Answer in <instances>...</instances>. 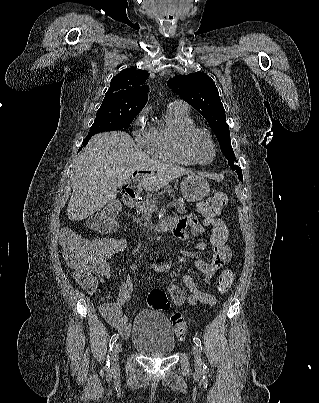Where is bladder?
<instances>
[{
    "instance_id": "31cf9c89",
    "label": "bladder",
    "mask_w": 319,
    "mask_h": 403,
    "mask_svg": "<svg viewBox=\"0 0 319 403\" xmlns=\"http://www.w3.org/2000/svg\"><path fill=\"white\" fill-rule=\"evenodd\" d=\"M131 345L148 357H167L176 348V338L169 318L154 310L140 311L132 326Z\"/></svg>"
}]
</instances>
